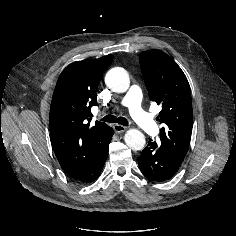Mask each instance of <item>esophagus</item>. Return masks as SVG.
Returning a JSON list of instances; mask_svg holds the SVG:
<instances>
[{"label":"esophagus","mask_w":236,"mask_h":236,"mask_svg":"<svg viewBox=\"0 0 236 236\" xmlns=\"http://www.w3.org/2000/svg\"><path fill=\"white\" fill-rule=\"evenodd\" d=\"M113 129H114V131H115L116 133H122V132H124V131L127 129V127H125V126H123V125L115 124V125L113 126Z\"/></svg>","instance_id":"1"}]
</instances>
